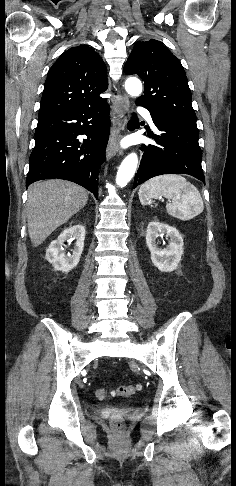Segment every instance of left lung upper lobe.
Instances as JSON below:
<instances>
[{"mask_svg":"<svg viewBox=\"0 0 236 486\" xmlns=\"http://www.w3.org/2000/svg\"><path fill=\"white\" fill-rule=\"evenodd\" d=\"M124 72L139 75L145 83L136 103L168 121L197 128L183 66L163 44L153 39L136 43Z\"/></svg>","mask_w":236,"mask_h":486,"instance_id":"obj_1","label":"left lung upper lobe"}]
</instances>
